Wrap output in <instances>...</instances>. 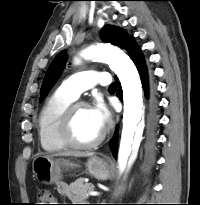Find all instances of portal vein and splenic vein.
Returning a JSON list of instances; mask_svg holds the SVG:
<instances>
[{"mask_svg":"<svg viewBox=\"0 0 200 205\" xmlns=\"http://www.w3.org/2000/svg\"><path fill=\"white\" fill-rule=\"evenodd\" d=\"M100 193L99 192H97V191H90L89 193H88V195H90V196H98Z\"/></svg>","mask_w":200,"mask_h":205,"instance_id":"18ae733b","label":"portal vein and splenic vein"}]
</instances>
